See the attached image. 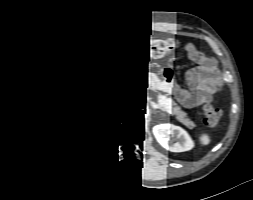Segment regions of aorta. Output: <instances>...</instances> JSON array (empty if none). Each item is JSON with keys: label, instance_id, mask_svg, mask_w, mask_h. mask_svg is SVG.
<instances>
[{"label": "aorta", "instance_id": "obj_1", "mask_svg": "<svg viewBox=\"0 0 253 200\" xmlns=\"http://www.w3.org/2000/svg\"><path fill=\"white\" fill-rule=\"evenodd\" d=\"M138 106H141L143 107L144 106V102H141ZM141 110H144V109H141ZM131 117L133 119H136V120H142L143 119V113L139 110H133V113L131 114ZM147 115L145 114L144 115V118H146Z\"/></svg>", "mask_w": 253, "mask_h": 200}]
</instances>
